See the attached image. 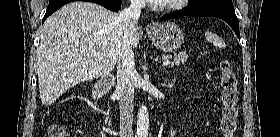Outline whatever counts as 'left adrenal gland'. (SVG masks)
I'll return each mask as SVG.
<instances>
[{
  "mask_svg": "<svg viewBox=\"0 0 280 137\" xmlns=\"http://www.w3.org/2000/svg\"><path fill=\"white\" fill-rule=\"evenodd\" d=\"M162 85H163V86H170V83H168V84L163 83Z\"/></svg>",
  "mask_w": 280,
  "mask_h": 137,
  "instance_id": "obj_1",
  "label": "left adrenal gland"
}]
</instances>
